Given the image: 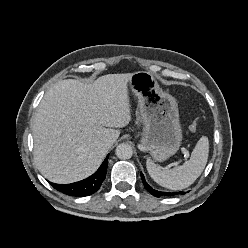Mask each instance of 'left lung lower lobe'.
<instances>
[{"label":"left lung lower lobe","mask_w":248,"mask_h":248,"mask_svg":"<svg viewBox=\"0 0 248 248\" xmlns=\"http://www.w3.org/2000/svg\"><path fill=\"white\" fill-rule=\"evenodd\" d=\"M141 178L144 184L145 189L150 192L152 195L156 196V197H160V196H173V195H178V194H184V192H162V191H157L155 189H153L152 187H150L147 182L145 181L144 175L141 173Z\"/></svg>","instance_id":"obj_1"}]
</instances>
